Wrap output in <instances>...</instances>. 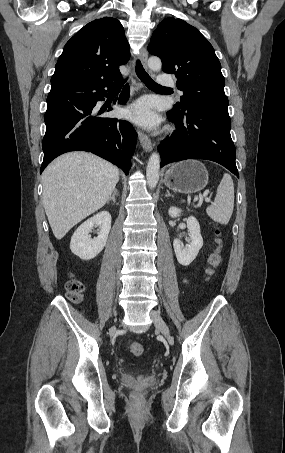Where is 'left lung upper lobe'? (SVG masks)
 I'll use <instances>...</instances> for the list:
<instances>
[{
	"label": "left lung upper lobe",
	"mask_w": 285,
	"mask_h": 453,
	"mask_svg": "<svg viewBox=\"0 0 285 453\" xmlns=\"http://www.w3.org/2000/svg\"><path fill=\"white\" fill-rule=\"evenodd\" d=\"M148 51L160 57L165 73L177 78L183 96L173 108L205 105L227 109L221 64L198 29L184 20L168 17L154 31Z\"/></svg>",
	"instance_id": "left-lung-upper-lobe-1"
}]
</instances>
